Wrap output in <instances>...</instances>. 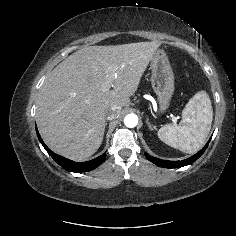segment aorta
<instances>
[{
	"instance_id": "762f6f07",
	"label": "aorta",
	"mask_w": 236,
	"mask_h": 236,
	"mask_svg": "<svg viewBox=\"0 0 236 236\" xmlns=\"http://www.w3.org/2000/svg\"><path fill=\"white\" fill-rule=\"evenodd\" d=\"M124 124L125 126L129 128H134L138 124V117L135 114H128L124 118Z\"/></svg>"
}]
</instances>
